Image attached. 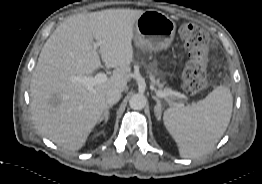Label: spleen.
Segmentation results:
<instances>
[{
  "label": "spleen",
  "mask_w": 262,
  "mask_h": 184,
  "mask_svg": "<svg viewBox=\"0 0 262 184\" xmlns=\"http://www.w3.org/2000/svg\"><path fill=\"white\" fill-rule=\"evenodd\" d=\"M232 108L230 89L220 85L197 103L166 109L164 125L176 141L180 156L196 158L210 151L226 131Z\"/></svg>",
  "instance_id": "obj_1"
}]
</instances>
